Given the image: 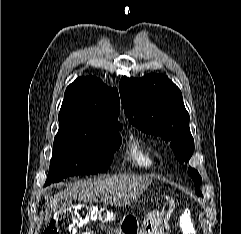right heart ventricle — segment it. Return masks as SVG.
I'll use <instances>...</instances> for the list:
<instances>
[{
    "label": "right heart ventricle",
    "instance_id": "right-heart-ventricle-1",
    "mask_svg": "<svg viewBox=\"0 0 241 234\" xmlns=\"http://www.w3.org/2000/svg\"><path fill=\"white\" fill-rule=\"evenodd\" d=\"M126 156L132 165L141 169H153L157 164L152 149L141 138L133 137L129 140Z\"/></svg>",
    "mask_w": 241,
    "mask_h": 234
}]
</instances>
